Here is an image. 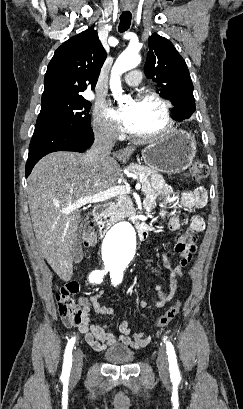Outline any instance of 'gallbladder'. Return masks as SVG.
Segmentation results:
<instances>
[{
  "mask_svg": "<svg viewBox=\"0 0 243 409\" xmlns=\"http://www.w3.org/2000/svg\"><path fill=\"white\" fill-rule=\"evenodd\" d=\"M73 261L79 263L82 260L81 238L77 237L71 249Z\"/></svg>",
  "mask_w": 243,
  "mask_h": 409,
  "instance_id": "bac80fb5",
  "label": "gallbladder"
}]
</instances>
